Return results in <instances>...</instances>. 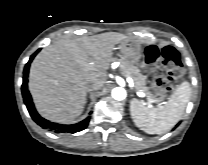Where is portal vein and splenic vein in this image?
<instances>
[{"mask_svg":"<svg viewBox=\"0 0 208 165\" xmlns=\"http://www.w3.org/2000/svg\"><path fill=\"white\" fill-rule=\"evenodd\" d=\"M127 82H128L129 84H132V79L128 77V78H127ZM138 96H139V97H145V98L147 99V101H148L149 107H151V108L153 107L152 103H158L159 106L162 104V103H160L158 100L152 99V98L146 96L145 93H143V92H138Z\"/></svg>","mask_w":208,"mask_h":165,"instance_id":"obj_1","label":"portal vein and splenic vein"}]
</instances>
